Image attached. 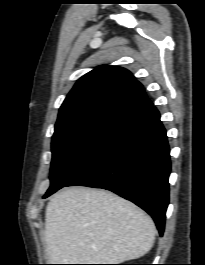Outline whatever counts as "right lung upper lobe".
<instances>
[{
    "instance_id": "obj_1",
    "label": "right lung upper lobe",
    "mask_w": 205,
    "mask_h": 265,
    "mask_svg": "<svg viewBox=\"0 0 205 265\" xmlns=\"http://www.w3.org/2000/svg\"><path fill=\"white\" fill-rule=\"evenodd\" d=\"M153 104L130 71L100 66L82 76L59 110L55 133L98 123L126 126Z\"/></svg>"
}]
</instances>
